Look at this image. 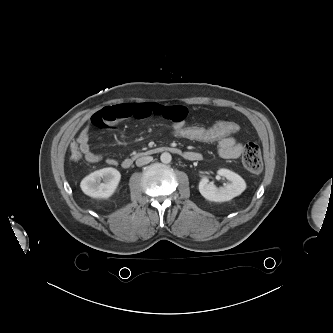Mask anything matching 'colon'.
Listing matches in <instances>:
<instances>
[{
  "label": "colon",
  "mask_w": 333,
  "mask_h": 333,
  "mask_svg": "<svg viewBox=\"0 0 333 333\" xmlns=\"http://www.w3.org/2000/svg\"><path fill=\"white\" fill-rule=\"evenodd\" d=\"M239 130L237 123L232 121H219L210 126H191L187 124H172L169 132L176 138L200 142H218L226 137L233 136ZM70 159L78 161L82 158V152L77 143L70 145ZM244 167L252 172L259 173L262 169V157L259 146L256 143H247L242 154Z\"/></svg>",
  "instance_id": "1"
}]
</instances>
